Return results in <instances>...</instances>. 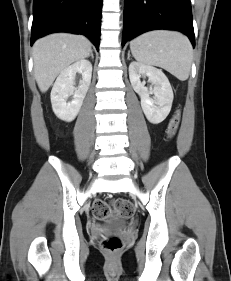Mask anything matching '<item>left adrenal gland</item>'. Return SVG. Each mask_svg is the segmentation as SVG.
<instances>
[{
    "label": "left adrenal gland",
    "instance_id": "a2214340",
    "mask_svg": "<svg viewBox=\"0 0 231 281\" xmlns=\"http://www.w3.org/2000/svg\"><path fill=\"white\" fill-rule=\"evenodd\" d=\"M127 59H130V51H128V58Z\"/></svg>",
    "mask_w": 231,
    "mask_h": 281
}]
</instances>
